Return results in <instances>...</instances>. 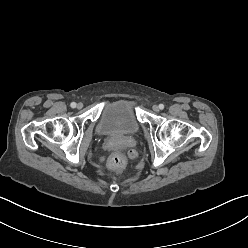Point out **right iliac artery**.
I'll use <instances>...</instances> for the list:
<instances>
[{
	"mask_svg": "<svg viewBox=\"0 0 248 248\" xmlns=\"http://www.w3.org/2000/svg\"><path fill=\"white\" fill-rule=\"evenodd\" d=\"M70 106H71L72 108H75V107H76V103H75V102H72V103L70 104Z\"/></svg>",
	"mask_w": 248,
	"mask_h": 248,
	"instance_id": "obj_1",
	"label": "right iliac artery"
}]
</instances>
